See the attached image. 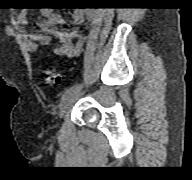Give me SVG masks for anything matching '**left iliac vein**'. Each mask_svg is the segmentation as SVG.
<instances>
[{
    "mask_svg": "<svg viewBox=\"0 0 192 180\" xmlns=\"http://www.w3.org/2000/svg\"><path fill=\"white\" fill-rule=\"evenodd\" d=\"M81 95L80 90H76L72 93H70L68 96H66L63 101L61 102L60 105V113L59 116L60 118H63L68 111L69 107L79 98Z\"/></svg>",
    "mask_w": 192,
    "mask_h": 180,
    "instance_id": "obj_1",
    "label": "left iliac vein"
}]
</instances>
